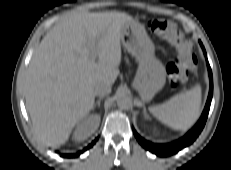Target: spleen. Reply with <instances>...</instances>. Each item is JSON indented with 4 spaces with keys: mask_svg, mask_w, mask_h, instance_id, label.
Masks as SVG:
<instances>
[{
    "mask_svg": "<svg viewBox=\"0 0 231 170\" xmlns=\"http://www.w3.org/2000/svg\"><path fill=\"white\" fill-rule=\"evenodd\" d=\"M201 90L199 87L179 93L168 101L151 106L150 112L162 123L176 130L190 128L200 114Z\"/></svg>",
    "mask_w": 231,
    "mask_h": 170,
    "instance_id": "spleen-1",
    "label": "spleen"
}]
</instances>
